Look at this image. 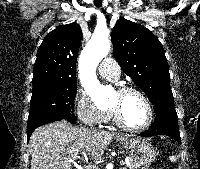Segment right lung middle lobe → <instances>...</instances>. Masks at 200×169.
<instances>
[{
  "instance_id": "1",
  "label": "right lung middle lobe",
  "mask_w": 200,
  "mask_h": 169,
  "mask_svg": "<svg viewBox=\"0 0 200 169\" xmlns=\"http://www.w3.org/2000/svg\"><path fill=\"white\" fill-rule=\"evenodd\" d=\"M76 91L77 81L60 86H43L33 89L28 120L72 114Z\"/></svg>"
}]
</instances>
